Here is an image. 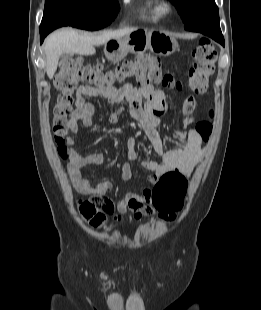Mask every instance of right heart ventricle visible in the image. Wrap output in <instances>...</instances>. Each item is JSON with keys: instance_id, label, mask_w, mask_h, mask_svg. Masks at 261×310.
<instances>
[{"instance_id": "right-heart-ventricle-1", "label": "right heart ventricle", "mask_w": 261, "mask_h": 310, "mask_svg": "<svg viewBox=\"0 0 261 310\" xmlns=\"http://www.w3.org/2000/svg\"><path fill=\"white\" fill-rule=\"evenodd\" d=\"M141 17L148 21H158L162 12L160 10L159 1L158 0H146L140 9Z\"/></svg>"}]
</instances>
